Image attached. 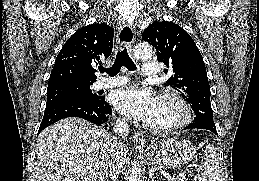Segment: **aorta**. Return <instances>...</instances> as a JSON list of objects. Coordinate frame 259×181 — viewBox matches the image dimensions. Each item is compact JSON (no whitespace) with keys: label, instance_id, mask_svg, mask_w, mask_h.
I'll return each mask as SVG.
<instances>
[{"label":"aorta","instance_id":"obj_1","mask_svg":"<svg viewBox=\"0 0 259 181\" xmlns=\"http://www.w3.org/2000/svg\"><path fill=\"white\" fill-rule=\"evenodd\" d=\"M153 54L152 48L147 43H140L135 47L134 55L137 58L148 59ZM129 181H142L141 167L139 161H134L130 169Z\"/></svg>","mask_w":259,"mask_h":181}]
</instances>
